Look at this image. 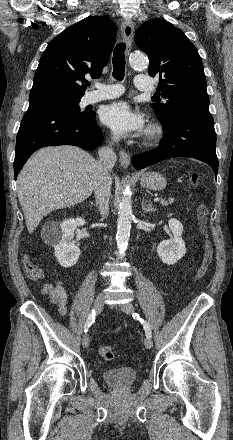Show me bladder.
Returning <instances> with one entry per match:
<instances>
[{
	"instance_id": "bladder-1",
	"label": "bladder",
	"mask_w": 233,
	"mask_h": 440,
	"mask_svg": "<svg viewBox=\"0 0 233 440\" xmlns=\"http://www.w3.org/2000/svg\"><path fill=\"white\" fill-rule=\"evenodd\" d=\"M102 379L112 387L127 388L135 383L137 372L131 367H117L104 370L102 372Z\"/></svg>"
}]
</instances>
